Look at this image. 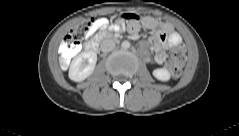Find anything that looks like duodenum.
<instances>
[{"label": "duodenum", "instance_id": "duodenum-1", "mask_svg": "<svg viewBox=\"0 0 239 136\" xmlns=\"http://www.w3.org/2000/svg\"><path fill=\"white\" fill-rule=\"evenodd\" d=\"M86 50L91 52H97L99 49V39H93L86 43L85 45Z\"/></svg>", "mask_w": 239, "mask_h": 136}]
</instances>
